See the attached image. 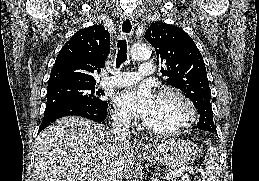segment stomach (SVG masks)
Returning <instances> with one entry per match:
<instances>
[{
    "mask_svg": "<svg viewBox=\"0 0 259 181\" xmlns=\"http://www.w3.org/2000/svg\"><path fill=\"white\" fill-rule=\"evenodd\" d=\"M198 153V147L190 140L169 138L153 145L147 152L140 153V155L151 163L176 169L192 163Z\"/></svg>",
    "mask_w": 259,
    "mask_h": 181,
    "instance_id": "1",
    "label": "stomach"
}]
</instances>
